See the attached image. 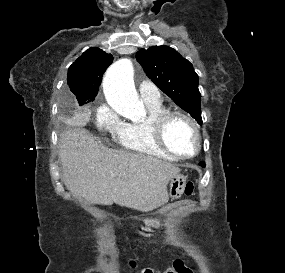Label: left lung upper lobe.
Returning <instances> with one entry per match:
<instances>
[{
    "mask_svg": "<svg viewBox=\"0 0 285 273\" xmlns=\"http://www.w3.org/2000/svg\"><path fill=\"white\" fill-rule=\"evenodd\" d=\"M136 58L148 77L179 107L202 124L198 75L191 63L168 46L142 49Z\"/></svg>",
    "mask_w": 285,
    "mask_h": 273,
    "instance_id": "left-lung-upper-lobe-1",
    "label": "left lung upper lobe"
}]
</instances>
